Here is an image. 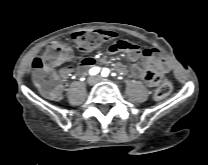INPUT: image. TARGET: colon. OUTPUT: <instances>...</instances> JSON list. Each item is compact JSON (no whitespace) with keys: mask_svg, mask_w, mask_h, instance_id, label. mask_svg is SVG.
<instances>
[{"mask_svg":"<svg viewBox=\"0 0 208 165\" xmlns=\"http://www.w3.org/2000/svg\"><path fill=\"white\" fill-rule=\"evenodd\" d=\"M78 50L87 52L99 46L104 40L101 31H80L72 36ZM72 51L61 43L51 44L44 56L36 57L32 62V77L35 86L47 97L55 98L60 95L61 84L55 73V67L70 61ZM172 83L165 80L156 89L154 98L158 101L165 99L172 91Z\"/></svg>","mask_w":208,"mask_h":165,"instance_id":"5ec220e1","label":"colon"}]
</instances>
